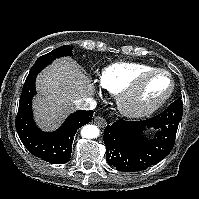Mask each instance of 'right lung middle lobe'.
<instances>
[{"instance_id":"dd1d6c3e","label":"right lung middle lobe","mask_w":199,"mask_h":199,"mask_svg":"<svg viewBox=\"0 0 199 199\" xmlns=\"http://www.w3.org/2000/svg\"><path fill=\"white\" fill-rule=\"evenodd\" d=\"M63 56H72V47L69 45L61 46L48 54H45L43 56H40L34 65H38L43 62H51L55 60L56 58L63 57Z\"/></svg>"}]
</instances>
